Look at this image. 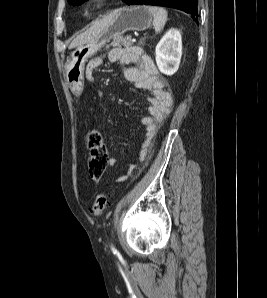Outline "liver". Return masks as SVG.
Here are the masks:
<instances>
[{"mask_svg":"<svg viewBox=\"0 0 267 298\" xmlns=\"http://www.w3.org/2000/svg\"><path fill=\"white\" fill-rule=\"evenodd\" d=\"M112 18L113 14L111 13L107 16H104L102 19L97 20L89 29L78 35L72 41V43L69 46V49H73L80 45H83L92 40L94 37L98 36L108 27L109 23L112 21Z\"/></svg>","mask_w":267,"mask_h":298,"instance_id":"6515ba94","label":"liver"}]
</instances>
